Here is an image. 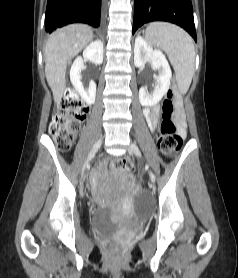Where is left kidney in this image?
I'll use <instances>...</instances> for the list:
<instances>
[{
	"label": "left kidney",
	"mask_w": 238,
	"mask_h": 278,
	"mask_svg": "<svg viewBox=\"0 0 238 278\" xmlns=\"http://www.w3.org/2000/svg\"><path fill=\"white\" fill-rule=\"evenodd\" d=\"M148 62L155 71H158V75H154L156 84L153 92L149 93L146 87H141L139 90V101L144 107L156 105L167 93L172 72L164 54L158 49H153L141 36H138L135 39L134 64L136 67L144 68Z\"/></svg>",
	"instance_id": "1"
}]
</instances>
